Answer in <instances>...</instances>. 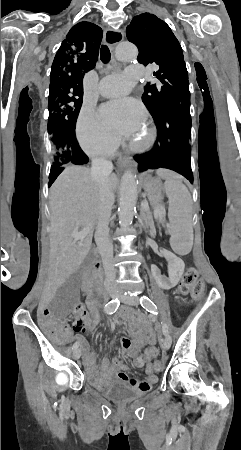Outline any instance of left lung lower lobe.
<instances>
[{
	"instance_id": "0a47b994",
	"label": "left lung lower lobe",
	"mask_w": 241,
	"mask_h": 450,
	"mask_svg": "<svg viewBox=\"0 0 241 450\" xmlns=\"http://www.w3.org/2000/svg\"><path fill=\"white\" fill-rule=\"evenodd\" d=\"M157 140L151 151L135 156L141 171L167 168L174 170L191 183L189 136L191 132L190 100L167 109L158 119Z\"/></svg>"
}]
</instances>
